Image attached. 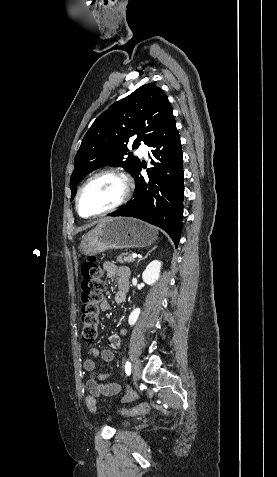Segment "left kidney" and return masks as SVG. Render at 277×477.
<instances>
[{
	"label": "left kidney",
	"mask_w": 277,
	"mask_h": 477,
	"mask_svg": "<svg viewBox=\"0 0 277 477\" xmlns=\"http://www.w3.org/2000/svg\"><path fill=\"white\" fill-rule=\"evenodd\" d=\"M160 270L161 262L158 260L152 261L150 264H148L142 274L143 281L148 285H153L159 279ZM140 312V308H136L131 312L128 319L130 325H134L136 323L139 318Z\"/></svg>",
	"instance_id": "obj_1"
}]
</instances>
